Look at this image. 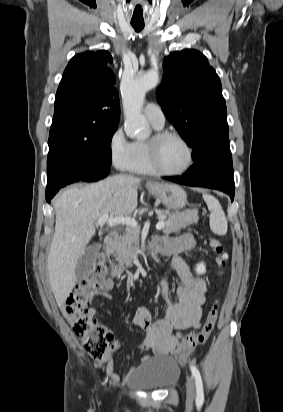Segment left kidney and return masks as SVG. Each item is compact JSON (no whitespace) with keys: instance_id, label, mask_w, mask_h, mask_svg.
<instances>
[{"instance_id":"obj_1","label":"left kidney","mask_w":283,"mask_h":412,"mask_svg":"<svg viewBox=\"0 0 283 412\" xmlns=\"http://www.w3.org/2000/svg\"><path fill=\"white\" fill-rule=\"evenodd\" d=\"M206 272L205 265L203 263L196 265V273L197 274H204Z\"/></svg>"}]
</instances>
